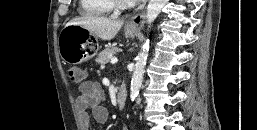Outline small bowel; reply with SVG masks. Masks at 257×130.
Instances as JSON below:
<instances>
[{"label": "small bowel", "instance_id": "1", "mask_svg": "<svg viewBox=\"0 0 257 130\" xmlns=\"http://www.w3.org/2000/svg\"><path fill=\"white\" fill-rule=\"evenodd\" d=\"M103 97L104 92L97 82L85 81L80 84L76 106L83 130H91V118L88 109L92 111V116L97 123L104 124L108 120L109 111L101 104Z\"/></svg>", "mask_w": 257, "mask_h": 130}]
</instances>
